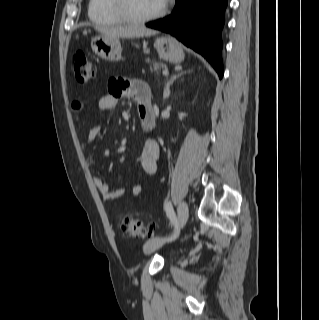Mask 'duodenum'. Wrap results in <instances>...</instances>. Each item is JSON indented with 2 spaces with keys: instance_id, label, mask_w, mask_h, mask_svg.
<instances>
[{
  "instance_id": "1",
  "label": "duodenum",
  "mask_w": 319,
  "mask_h": 320,
  "mask_svg": "<svg viewBox=\"0 0 319 320\" xmlns=\"http://www.w3.org/2000/svg\"><path fill=\"white\" fill-rule=\"evenodd\" d=\"M139 117L144 129H152L156 123L155 109L153 107L144 108L139 111Z\"/></svg>"
}]
</instances>
